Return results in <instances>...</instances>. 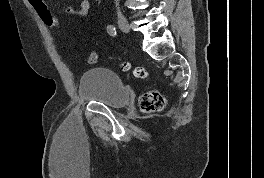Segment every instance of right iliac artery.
<instances>
[{
    "label": "right iliac artery",
    "mask_w": 264,
    "mask_h": 178,
    "mask_svg": "<svg viewBox=\"0 0 264 178\" xmlns=\"http://www.w3.org/2000/svg\"><path fill=\"white\" fill-rule=\"evenodd\" d=\"M107 32L109 35L115 37L117 32H116V28L113 25H108L107 26Z\"/></svg>",
    "instance_id": "1"
}]
</instances>
